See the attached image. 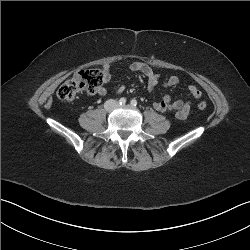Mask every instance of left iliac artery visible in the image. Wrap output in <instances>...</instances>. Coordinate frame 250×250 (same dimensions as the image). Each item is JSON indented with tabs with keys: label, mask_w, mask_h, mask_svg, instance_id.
I'll return each mask as SVG.
<instances>
[{
	"label": "left iliac artery",
	"mask_w": 250,
	"mask_h": 250,
	"mask_svg": "<svg viewBox=\"0 0 250 250\" xmlns=\"http://www.w3.org/2000/svg\"><path fill=\"white\" fill-rule=\"evenodd\" d=\"M131 105L132 106H136L137 105V101L135 99L131 100Z\"/></svg>",
	"instance_id": "obj_1"
}]
</instances>
